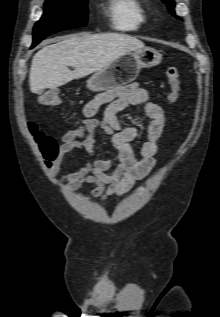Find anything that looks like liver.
<instances>
[{"instance_id":"liver-1","label":"liver","mask_w":220,"mask_h":317,"mask_svg":"<svg viewBox=\"0 0 220 317\" xmlns=\"http://www.w3.org/2000/svg\"><path fill=\"white\" fill-rule=\"evenodd\" d=\"M145 48L142 41L118 33L73 35L40 49L33 57L29 86L32 93L55 89L106 69L122 55ZM68 67H75L71 71Z\"/></svg>"}]
</instances>
